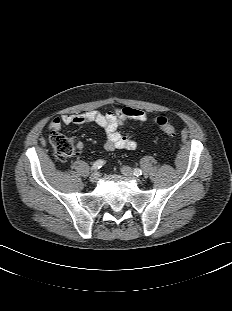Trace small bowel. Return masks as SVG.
Masks as SVG:
<instances>
[{
  "instance_id": "small-bowel-1",
  "label": "small bowel",
  "mask_w": 232,
  "mask_h": 311,
  "mask_svg": "<svg viewBox=\"0 0 232 311\" xmlns=\"http://www.w3.org/2000/svg\"><path fill=\"white\" fill-rule=\"evenodd\" d=\"M149 118V113L138 108L122 107L103 114L92 110L84 114L69 115L64 114L53 118L48 128L52 132H59L63 125H83L95 123L105 132L104 148L108 151L133 150L137 143L129 134L121 131V127L126 120L145 121ZM77 148L83 150V142L77 143Z\"/></svg>"
}]
</instances>
